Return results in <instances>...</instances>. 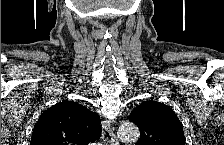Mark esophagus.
<instances>
[{"label": "esophagus", "instance_id": "obj_1", "mask_svg": "<svg viewBox=\"0 0 224 145\" xmlns=\"http://www.w3.org/2000/svg\"><path fill=\"white\" fill-rule=\"evenodd\" d=\"M102 139L105 145H118V139L113 133L109 120H104L102 122Z\"/></svg>", "mask_w": 224, "mask_h": 145}]
</instances>
